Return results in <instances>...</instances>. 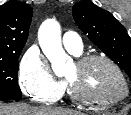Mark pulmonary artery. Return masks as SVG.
Masks as SVG:
<instances>
[{"label": "pulmonary artery", "mask_w": 131, "mask_h": 115, "mask_svg": "<svg viewBox=\"0 0 131 115\" xmlns=\"http://www.w3.org/2000/svg\"><path fill=\"white\" fill-rule=\"evenodd\" d=\"M62 42L64 47L71 53L77 55L83 50L81 37L74 32H66L63 35Z\"/></svg>", "instance_id": "1"}]
</instances>
